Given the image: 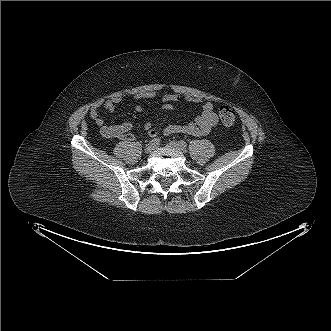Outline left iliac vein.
Returning <instances> with one entry per match:
<instances>
[{
  "label": "left iliac vein",
  "mask_w": 331,
  "mask_h": 331,
  "mask_svg": "<svg viewBox=\"0 0 331 331\" xmlns=\"http://www.w3.org/2000/svg\"><path fill=\"white\" fill-rule=\"evenodd\" d=\"M167 146L169 147V148H172V149H175V150H177V151H179V152H182V153H184L186 150H185V148H182L177 142H175V141H170L169 143H167Z\"/></svg>",
  "instance_id": "obj_1"
}]
</instances>
